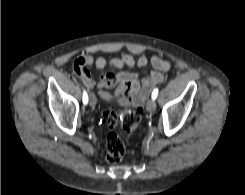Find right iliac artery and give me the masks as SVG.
Masks as SVG:
<instances>
[{
	"label": "right iliac artery",
	"instance_id": "82829eb1",
	"mask_svg": "<svg viewBox=\"0 0 245 195\" xmlns=\"http://www.w3.org/2000/svg\"><path fill=\"white\" fill-rule=\"evenodd\" d=\"M82 100H83V103L85 105L88 103V94H87V92L85 90L83 91V98H82Z\"/></svg>",
	"mask_w": 245,
	"mask_h": 195
}]
</instances>
